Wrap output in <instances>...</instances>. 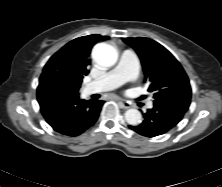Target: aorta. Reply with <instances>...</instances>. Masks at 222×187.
Instances as JSON below:
<instances>
[{"label":"aorta","instance_id":"obj_1","mask_svg":"<svg viewBox=\"0 0 222 187\" xmlns=\"http://www.w3.org/2000/svg\"><path fill=\"white\" fill-rule=\"evenodd\" d=\"M94 61L104 67H111L117 62L116 49L107 43H98L92 50ZM125 120L129 125L136 126L142 122V115L137 109H129L125 112Z\"/></svg>","mask_w":222,"mask_h":187}]
</instances>
